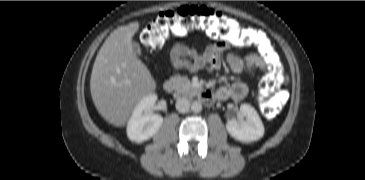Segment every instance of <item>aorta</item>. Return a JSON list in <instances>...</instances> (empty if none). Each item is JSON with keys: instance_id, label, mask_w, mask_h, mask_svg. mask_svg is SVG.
<instances>
[{"instance_id": "762f6f07", "label": "aorta", "mask_w": 365, "mask_h": 180, "mask_svg": "<svg viewBox=\"0 0 365 180\" xmlns=\"http://www.w3.org/2000/svg\"><path fill=\"white\" fill-rule=\"evenodd\" d=\"M191 110L195 113H198L202 110V104L198 101H194L192 104H191Z\"/></svg>"}]
</instances>
